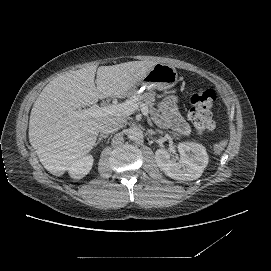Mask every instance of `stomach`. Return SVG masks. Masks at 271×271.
<instances>
[{"mask_svg":"<svg viewBox=\"0 0 271 271\" xmlns=\"http://www.w3.org/2000/svg\"><path fill=\"white\" fill-rule=\"evenodd\" d=\"M178 82V74L176 69L163 63L155 64L146 74V76L131 87L126 95H130L136 91L139 93L152 90H166L176 85Z\"/></svg>","mask_w":271,"mask_h":271,"instance_id":"obj_1","label":"stomach"}]
</instances>
